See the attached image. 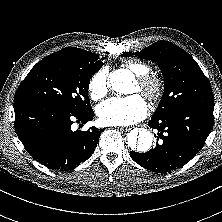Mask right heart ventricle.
I'll use <instances>...</instances> for the list:
<instances>
[{"mask_svg":"<svg viewBox=\"0 0 222 222\" xmlns=\"http://www.w3.org/2000/svg\"><path fill=\"white\" fill-rule=\"evenodd\" d=\"M125 66L137 76H142L150 72V66L139 60H128Z\"/></svg>","mask_w":222,"mask_h":222,"instance_id":"e07e8e85","label":"right heart ventricle"}]
</instances>
